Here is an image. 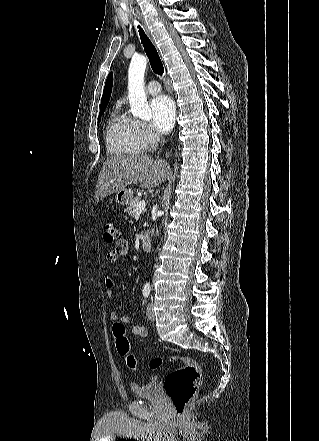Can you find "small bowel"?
Segmentation results:
<instances>
[{
  "label": "small bowel",
  "mask_w": 319,
  "mask_h": 441,
  "mask_svg": "<svg viewBox=\"0 0 319 441\" xmlns=\"http://www.w3.org/2000/svg\"><path fill=\"white\" fill-rule=\"evenodd\" d=\"M128 251V242L124 239H121L117 242L116 247L112 250H110L107 253V260L110 263H115L118 258L120 256H123L127 253ZM114 286H115V282L113 280V278L111 276H106L105 277V287H106V295L108 298H112L114 296ZM110 318L112 321H120L122 323H128L129 322V317L124 315V316H119V314L116 311H112L110 313ZM131 332L133 335L138 336V337H145L147 335V330L144 326L142 325H134L131 328Z\"/></svg>",
  "instance_id": "c3829d8e"
}]
</instances>
